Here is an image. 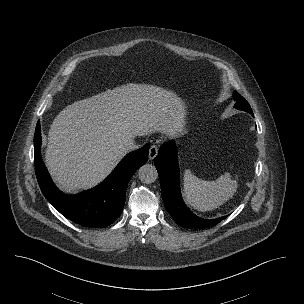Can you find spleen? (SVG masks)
<instances>
[{
    "mask_svg": "<svg viewBox=\"0 0 304 304\" xmlns=\"http://www.w3.org/2000/svg\"><path fill=\"white\" fill-rule=\"evenodd\" d=\"M237 181L229 173L221 175L216 181H206L186 170L183 178L184 196L188 204L198 211L218 208L233 197L237 191Z\"/></svg>",
    "mask_w": 304,
    "mask_h": 304,
    "instance_id": "1",
    "label": "spleen"
}]
</instances>
